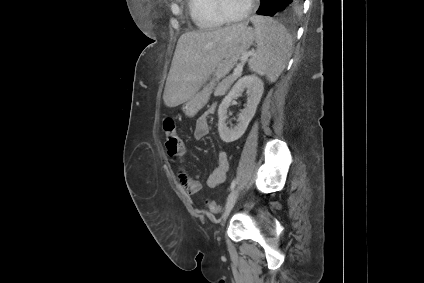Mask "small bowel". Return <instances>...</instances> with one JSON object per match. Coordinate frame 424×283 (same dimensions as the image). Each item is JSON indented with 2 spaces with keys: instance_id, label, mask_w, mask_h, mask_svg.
<instances>
[{
  "instance_id": "obj_1",
  "label": "small bowel",
  "mask_w": 424,
  "mask_h": 283,
  "mask_svg": "<svg viewBox=\"0 0 424 283\" xmlns=\"http://www.w3.org/2000/svg\"><path fill=\"white\" fill-rule=\"evenodd\" d=\"M216 109V105L213 104L209 107V109L201 115L195 123V127L193 130L194 138L199 140L205 137L209 133V124H208V116L212 114ZM168 155L173 159H181L184 155V146L182 154L171 155L170 150L171 147L166 145ZM229 155L226 151H220L218 153L217 165L211 171V173L207 176L206 184L209 188H215L221 184H223L227 179V173L229 170ZM177 180L183 190L188 195H194L198 193L202 189V183L190 176V174L186 171L183 166H180L176 172Z\"/></svg>"
}]
</instances>
